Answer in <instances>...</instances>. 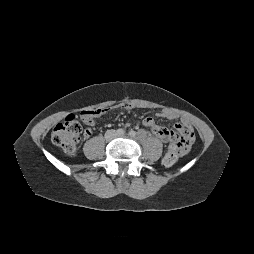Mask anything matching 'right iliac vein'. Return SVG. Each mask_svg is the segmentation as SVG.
Listing matches in <instances>:
<instances>
[{"instance_id":"1","label":"right iliac vein","mask_w":254,"mask_h":254,"mask_svg":"<svg viewBox=\"0 0 254 254\" xmlns=\"http://www.w3.org/2000/svg\"><path fill=\"white\" fill-rule=\"evenodd\" d=\"M114 137H116L115 131H109V132L107 133V138H108V139H113Z\"/></svg>"}]
</instances>
